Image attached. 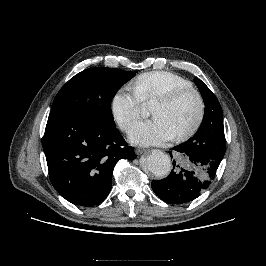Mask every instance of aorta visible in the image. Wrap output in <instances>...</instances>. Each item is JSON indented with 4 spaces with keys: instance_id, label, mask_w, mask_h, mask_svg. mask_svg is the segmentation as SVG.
Masks as SVG:
<instances>
[{
    "instance_id": "aorta-1",
    "label": "aorta",
    "mask_w": 266,
    "mask_h": 266,
    "mask_svg": "<svg viewBox=\"0 0 266 266\" xmlns=\"http://www.w3.org/2000/svg\"><path fill=\"white\" fill-rule=\"evenodd\" d=\"M145 164L150 172L157 177H162L168 174L171 166V161L168 155L161 150H153L147 157Z\"/></svg>"
}]
</instances>
